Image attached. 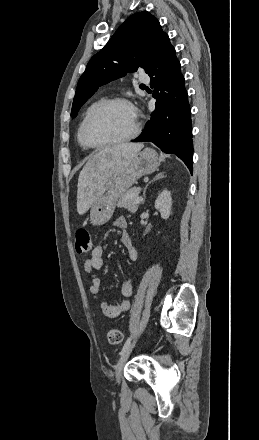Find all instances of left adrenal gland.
Segmentation results:
<instances>
[{"label": "left adrenal gland", "mask_w": 259, "mask_h": 440, "mask_svg": "<svg viewBox=\"0 0 259 440\" xmlns=\"http://www.w3.org/2000/svg\"><path fill=\"white\" fill-rule=\"evenodd\" d=\"M164 174H165L164 172H162V173H158V174L153 178V180L150 181V182L145 186L144 191H143V200H142V203H144V201H145V192H146V189H147V187L149 186V184L153 183L154 181H156V180H158V179H161V178L165 177Z\"/></svg>", "instance_id": "left-adrenal-gland-1"}]
</instances>
